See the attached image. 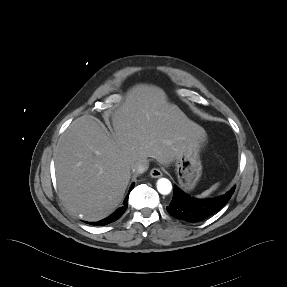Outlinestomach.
Here are the masks:
<instances>
[{
  "label": "stomach",
  "instance_id": "1",
  "mask_svg": "<svg viewBox=\"0 0 287 287\" xmlns=\"http://www.w3.org/2000/svg\"><path fill=\"white\" fill-rule=\"evenodd\" d=\"M200 142L188 137L182 151L174 160L178 182L186 191L195 188L202 174Z\"/></svg>",
  "mask_w": 287,
  "mask_h": 287
}]
</instances>
